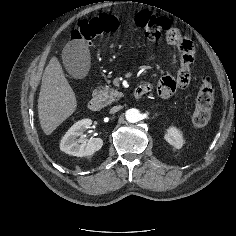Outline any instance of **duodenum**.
Returning a JSON list of instances; mask_svg holds the SVG:
<instances>
[{"instance_id":"410a0bca","label":"duodenum","mask_w":236,"mask_h":236,"mask_svg":"<svg viewBox=\"0 0 236 236\" xmlns=\"http://www.w3.org/2000/svg\"><path fill=\"white\" fill-rule=\"evenodd\" d=\"M148 92H149V88L142 85L135 89L134 96L135 98L139 99ZM88 107L91 111H98L101 108V99L98 96V94H96V92L94 91H93L92 98L89 101Z\"/></svg>"}]
</instances>
